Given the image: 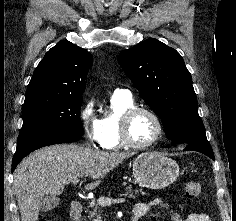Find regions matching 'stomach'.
Wrapping results in <instances>:
<instances>
[{"mask_svg": "<svg viewBox=\"0 0 236 221\" xmlns=\"http://www.w3.org/2000/svg\"><path fill=\"white\" fill-rule=\"evenodd\" d=\"M133 176L141 187L163 189L177 180L179 166L160 153L145 152L134 159Z\"/></svg>", "mask_w": 236, "mask_h": 221, "instance_id": "1", "label": "stomach"}]
</instances>
